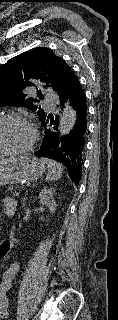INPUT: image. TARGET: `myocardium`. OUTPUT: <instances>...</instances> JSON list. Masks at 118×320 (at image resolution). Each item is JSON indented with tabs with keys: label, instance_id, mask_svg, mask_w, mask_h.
Returning <instances> with one entry per match:
<instances>
[{
	"label": "myocardium",
	"instance_id": "f54148a6",
	"mask_svg": "<svg viewBox=\"0 0 118 320\" xmlns=\"http://www.w3.org/2000/svg\"><path fill=\"white\" fill-rule=\"evenodd\" d=\"M9 120H19L28 124L32 131V139L26 147L21 149H15V150L7 149L6 147L0 144V153L4 155H22L32 151L38 140V130L34 122L31 119H29L27 116H24L19 113H9L5 115H0V124L2 122L9 121Z\"/></svg>",
	"mask_w": 118,
	"mask_h": 320
}]
</instances>
